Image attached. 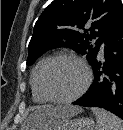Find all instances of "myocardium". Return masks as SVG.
<instances>
[{
    "mask_svg": "<svg viewBox=\"0 0 123 130\" xmlns=\"http://www.w3.org/2000/svg\"><path fill=\"white\" fill-rule=\"evenodd\" d=\"M60 60L75 61L82 67V69L85 72V82H84L83 86L80 88V90L76 94H74L71 97H67V98H61V97L56 96L52 92V90L49 86V81H48L49 73H50L52 67ZM91 82H92V72H91L89 66L86 64V62L82 58H80L79 56L72 54V53H60V54H57V55L51 57V59L45 65L42 75H41V87H42V90H43L44 94L46 95V97L50 101H53L56 103H61V104L72 103V102L76 101L77 99H79L88 90Z\"/></svg>",
    "mask_w": 123,
    "mask_h": 130,
    "instance_id": "obj_1",
    "label": "myocardium"
}]
</instances>
